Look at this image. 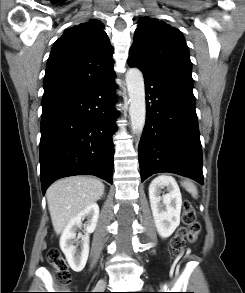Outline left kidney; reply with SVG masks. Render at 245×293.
Here are the masks:
<instances>
[{
  "mask_svg": "<svg viewBox=\"0 0 245 293\" xmlns=\"http://www.w3.org/2000/svg\"><path fill=\"white\" fill-rule=\"evenodd\" d=\"M166 187L168 193L161 196ZM149 199L157 232L169 237L180 224L182 196L176 181L169 176H158L149 186Z\"/></svg>",
  "mask_w": 245,
  "mask_h": 293,
  "instance_id": "left-kidney-1",
  "label": "left kidney"
}]
</instances>
